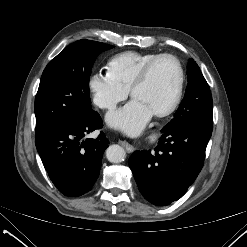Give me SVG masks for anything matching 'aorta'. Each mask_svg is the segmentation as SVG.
Masks as SVG:
<instances>
[{
	"label": "aorta",
	"mask_w": 247,
	"mask_h": 247,
	"mask_svg": "<svg viewBox=\"0 0 247 247\" xmlns=\"http://www.w3.org/2000/svg\"><path fill=\"white\" fill-rule=\"evenodd\" d=\"M106 157L111 163H120L125 160L126 152L119 145H111L106 150Z\"/></svg>",
	"instance_id": "1"
}]
</instances>
